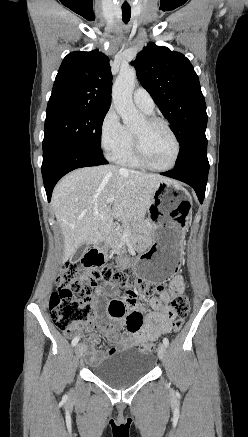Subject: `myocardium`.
<instances>
[{
    "label": "myocardium",
    "mask_w": 248,
    "mask_h": 437,
    "mask_svg": "<svg viewBox=\"0 0 248 437\" xmlns=\"http://www.w3.org/2000/svg\"><path fill=\"white\" fill-rule=\"evenodd\" d=\"M144 120L148 126L162 125L163 127H165V129L169 132V134L171 135L174 141L175 152H174L173 159L169 165L164 167L154 166L146 158V155L143 150L141 138L137 134L132 133L133 148L138 161L141 163L143 167L153 171H168L172 169L178 161L180 150H181L180 142L176 133L173 131L169 123L162 118L151 116V117H146Z\"/></svg>",
    "instance_id": "obj_1"
}]
</instances>
